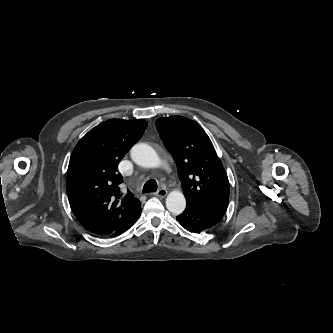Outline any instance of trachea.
<instances>
[{"instance_id":"trachea-1","label":"trachea","mask_w":333,"mask_h":333,"mask_svg":"<svg viewBox=\"0 0 333 333\" xmlns=\"http://www.w3.org/2000/svg\"><path fill=\"white\" fill-rule=\"evenodd\" d=\"M158 188L157 182L153 179L148 180L143 186V193L156 192Z\"/></svg>"}]
</instances>
